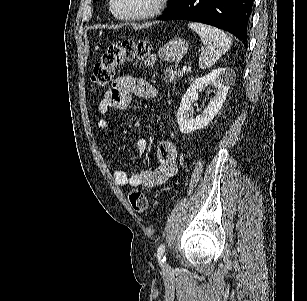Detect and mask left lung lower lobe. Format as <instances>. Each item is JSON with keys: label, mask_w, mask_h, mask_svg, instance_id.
<instances>
[{"label": "left lung lower lobe", "mask_w": 307, "mask_h": 301, "mask_svg": "<svg viewBox=\"0 0 307 301\" xmlns=\"http://www.w3.org/2000/svg\"><path fill=\"white\" fill-rule=\"evenodd\" d=\"M253 0H180L159 20H190L224 29L247 47Z\"/></svg>", "instance_id": "1"}]
</instances>
